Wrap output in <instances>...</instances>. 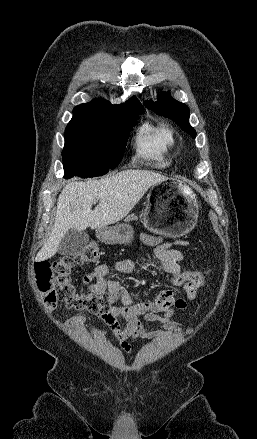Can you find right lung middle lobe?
I'll list each match as a JSON object with an SVG mask.
<instances>
[{"label": "right lung middle lobe", "instance_id": "dd1d6c3e", "mask_svg": "<svg viewBox=\"0 0 257 439\" xmlns=\"http://www.w3.org/2000/svg\"><path fill=\"white\" fill-rule=\"evenodd\" d=\"M141 113H129L117 120L73 117L65 130L64 178L101 176L114 169L122 159L129 132Z\"/></svg>", "mask_w": 257, "mask_h": 439}]
</instances>
